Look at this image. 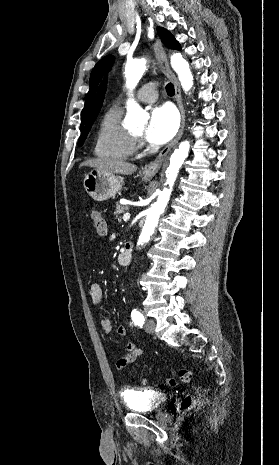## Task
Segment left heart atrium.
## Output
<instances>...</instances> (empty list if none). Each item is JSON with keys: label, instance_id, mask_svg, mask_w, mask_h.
I'll list each match as a JSON object with an SVG mask.
<instances>
[{"label": "left heart atrium", "instance_id": "39dd6f15", "mask_svg": "<svg viewBox=\"0 0 279 465\" xmlns=\"http://www.w3.org/2000/svg\"><path fill=\"white\" fill-rule=\"evenodd\" d=\"M178 126V115L172 106L155 107L151 111L145 138L152 144L162 145L174 137Z\"/></svg>", "mask_w": 279, "mask_h": 465}]
</instances>
